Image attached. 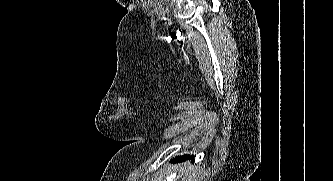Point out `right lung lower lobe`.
I'll return each instance as SVG.
<instances>
[{
  "instance_id": "98d812e1",
  "label": "right lung lower lobe",
  "mask_w": 333,
  "mask_h": 181,
  "mask_svg": "<svg viewBox=\"0 0 333 181\" xmlns=\"http://www.w3.org/2000/svg\"><path fill=\"white\" fill-rule=\"evenodd\" d=\"M184 158H185V156L184 157H179V161H183ZM188 158H192V156L191 157L188 156Z\"/></svg>"
}]
</instances>
